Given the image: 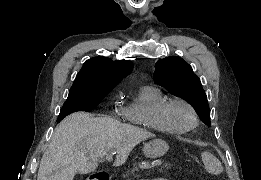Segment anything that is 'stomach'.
Listing matches in <instances>:
<instances>
[{"mask_svg":"<svg viewBox=\"0 0 261 180\" xmlns=\"http://www.w3.org/2000/svg\"><path fill=\"white\" fill-rule=\"evenodd\" d=\"M169 150V145L162 139H154L143 147V153L147 158H158Z\"/></svg>","mask_w":261,"mask_h":180,"instance_id":"1","label":"stomach"}]
</instances>
